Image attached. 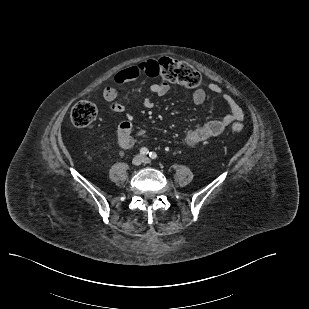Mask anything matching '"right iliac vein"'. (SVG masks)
<instances>
[{
    "label": "right iliac vein",
    "instance_id": "obj_1",
    "mask_svg": "<svg viewBox=\"0 0 309 309\" xmlns=\"http://www.w3.org/2000/svg\"><path fill=\"white\" fill-rule=\"evenodd\" d=\"M142 162H143V157L141 155H136L132 160V163L135 166H139Z\"/></svg>",
    "mask_w": 309,
    "mask_h": 309
}]
</instances>
